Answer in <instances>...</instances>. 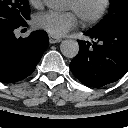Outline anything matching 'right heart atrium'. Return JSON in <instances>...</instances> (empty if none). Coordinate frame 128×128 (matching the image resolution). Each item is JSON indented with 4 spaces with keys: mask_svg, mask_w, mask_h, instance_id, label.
Segmentation results:
<instances>
[{
    "mask_svg": "<svg viewBox=\"0 0 128 128\" xmlns=\"http://www.w3.org/2000/svg\"><path fill=\"white\" fill-rule=\"evenodd\" d=\"M28 2L34 8H40L43 4V0H28Z\"/></svg>",
    "mask_w": 128,
    "mask_h": 128,
    "instance_id": "1",
    "label": "right heart atrium"
}]
</instances>
